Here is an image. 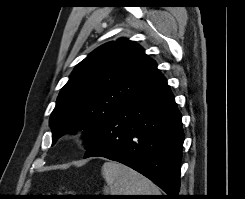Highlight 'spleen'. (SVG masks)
Listing matches in <instances>:
<instances>
[{
  "instance_id": "3e777b00",
  "label": "spleen",
  "mask_w": 245,
  "mask_h": 199,
  "mask_svg": "<svg viewBox=\"0 0 245 199\" xmlns=\"http://www.w3.org/2000/svg\"><path fill=\"white\" fill-rule=\"evenodd\" d=\"M102 175L107 195H161L159 188L135 170L118 162H105Z\"/></svg>"
}]
</instances>
